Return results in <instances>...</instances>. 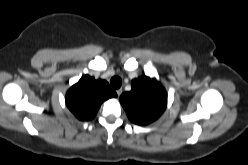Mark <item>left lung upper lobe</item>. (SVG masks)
I'll return each instance as SVG.
<instances>
[{"label":"left lung upper lobe","mask_w":248,"mask_h":165,"mask_svg":"<svg viewBox=\"0 0 248 165\" xmlns=\"http://www.w3.org/2000/svg\"><path fill=\"white\" fill-rule=\"evenodd\" d=\"M130 92L120 96L129 119L138 125L155 121L166 109L167 93L163 86L147 76L132 80Z\"/></svg>","instance_id":"obj_1"}]
</instances>
